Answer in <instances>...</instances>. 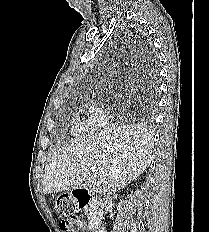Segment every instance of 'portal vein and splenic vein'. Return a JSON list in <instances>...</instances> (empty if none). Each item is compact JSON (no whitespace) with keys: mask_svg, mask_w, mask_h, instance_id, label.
<instances>
[{"mask_svg":"<svg viewBox=\"0 0 209 232\" xmlns=\"http://www.w3.org/2000/svg\"><path fill=\"white\" fill-rule=\"evenodd\" d=\"M91 171L94 173V172H96V168L95 167H92L91 168Z\"/></svg>","mask_w":209,"mask_h":232,"instance_id":"18ae733b","label":"portal vein and splenic vein"}]
</instances>
